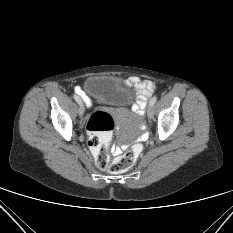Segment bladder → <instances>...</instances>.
Segmentation results:
<instances>
[{"instance_id": "1", "label": "bladder", "mask_w": 233, "mask_h": 233, "mask_svg": "<svg viewBox=\"0 0 233 233\" xmlns=\"http://www.w3.org/2000/svg\"><path fill=\"white\" fill-rule=\"evenodd\" d=\"M86 95L101 104L125 106L135 100L133 89L120 78L109 75H93L84 81Z\"/></svg>"}]
</instances>
